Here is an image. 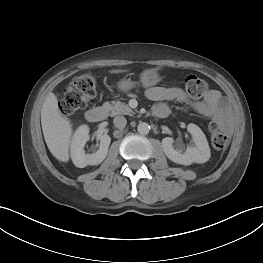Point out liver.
Here are the masks:
<instances>
[{"label": "liver", "instance_id": "1", "mask_svg": "<svg viewBox=\"0 0 263 263\" xmlns=\"http://www.w3.org/2000/svg\"><path fill=\"white\" fill-rule=\"evenodd\" d=\"M125 70H111V73ZM41 125L47 147L51 154L62 162L69 161V147L72 136V125L67 117L62 116L58 109V100L50 92L41 110Z\"/></svg>", "mask_w": 263, "mask_h": 263}]
</instances>
